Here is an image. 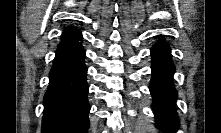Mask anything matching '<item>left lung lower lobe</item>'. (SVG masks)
<instances>
[{"label": "left lung lower lobe", "mask_w": 221, "mask_h": 133, "mask_svg": "<svg viewBox=\"0 0 221 133\" xmlns=\"http://www.w3.org/2000/svg\"><path fill=\"white\" fill-rule=\"evenodd\" d=\"M152 78L150 92L153 97V111L156 124L162 130H176L177 91L173 85L175 67L171 60L170 48L163 41L151 48Z\"/></svg>", "instance_id": "0a47b994"}]
</instances>
